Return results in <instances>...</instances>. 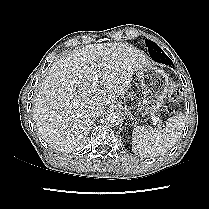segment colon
I'll return each mask as SVG.
<instances>
[{
  "label": "colon",
  "mask_w": 209,
  "mask_h": 209,
  "mask_svg": "<svg viewBox=\"0 0 209 209\" xmlns=\"http://www.w3.org/2000/svg\"><path fill=\"white\" fill-rule=\"evenodd\" d=\"M181 89L178 87H173L169 92V100L172 103H176L181 99Z\"/></svg>",
  "instance_id": "obj_1"
}]
</instances>
